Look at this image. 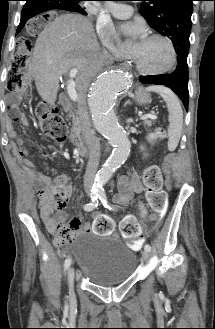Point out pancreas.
I'll return each instance as SVG.
<instances>
[{
    "label": "pancreas",
    "mask_w": 215,
    "mask_h": 329,
    "mask_svg": "<svg viewBox=\"0 0 215 329\" xmlns=\"http://www.w3.org/2000/svg\"><path fill=\"white\" fill-rule=\"evenodd\" d=\"M69 117L72 118V128H71V136L72 137H80L81 133V122L76 112H71ZM144 124L148 127L152 126V121L144 120Z\"/></svg>",
    "instance_id": "cf45deb5"
}]
</instances>
